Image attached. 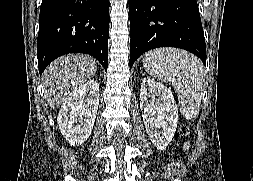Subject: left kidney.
<instances>
[{
  "label": "left kidney",
  "mask_w": 253,
  "mask_h": 181,
  "mask_svg": "<svg viewBox=\"0 0 253 181\" xmlns=\"http://www.w3.org/2000/svg\"><path fill=\"white\" fill-rule=\"evenodd\" d=\"M140 108L151 142L158 150L166 149L178 124V108L172 92L163 84L145 77L140 89Z\"/></svg>",
  "instance_id": "5707ae66"
}]
</instances>
